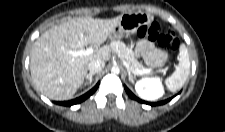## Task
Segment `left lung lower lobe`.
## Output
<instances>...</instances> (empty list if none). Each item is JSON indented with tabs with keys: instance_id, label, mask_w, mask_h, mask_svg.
I'll list each match as a JSON object with an SVG mask.
<instances>
[{
	"instance_id": "obj_1",
	"label": "left lung lower lobe",
	"mask_w": 225,
	"mask_h": 132,
	"mask_svg": "<svg viewBox=\"0 0 225 132\" xmlns=\"http://www.w3.org/2000/svg\"><path fill=\"white\" fill-rule=\"evenodd\" d=\"M125 90L131 98H133V99H135L139 102L149 104L151 106L162 105V104H165L172 99V98H170V99H167V100H164V101H161V102H157V103H148V102H145V101H142V100L138 99L126 86H125Z\"/></svg>"
}]
</instances>
